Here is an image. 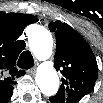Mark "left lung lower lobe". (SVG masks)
Masks as SVG:
<instances>
[{
    "mask_svg": "<svg viewBox=\"0 0 103 103\" xmlns=\"http://www.w3.org/2000/svg\"><path fill=\"white\" fill-rule=\"evenodd\" d=\"M70 97L73 103H77L83 96H81L79 93H73ZM51 99L52 97L50 98V100Z\"/></svg>",
    "mask_w": 103,
    "mask_h": 103,
    "instance_id": "left-lung-lower-lobe-1",
    "label": "left lung lower lobe"
}]
</instances>
